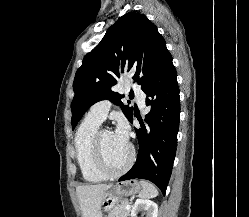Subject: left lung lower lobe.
<instances>
[{
    "label": "left lung lower lobe",
    "instance_id": "1",
    "mask_svg": "<svg viewBox=\"0 0 249 217\" xmlns=\"http://www.w3.org/2000/svg\"><path fill=\"white\" fill-rule=\"evenodd\" d=\"M150 112L136 129L139 151L135 165L119 181L141 178L156 184L163 195L172 173L177 147L180 99L177 73L169 55L144 90ZM132 122V120L130 121Z\"/></svg>",
    "mask_w": 249,
    "mask_h": 217
}]
</instances>
